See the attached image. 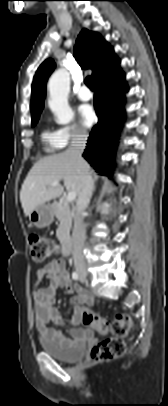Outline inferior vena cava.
Instances as JSON below:
<instances>
[{
    "instance_id": "602c4592",
    "label": "inferior vena cava",
    "mask_w": 168,
    "mask_h": 406,
    "mask_svg": "<svg viewBox=\"0 0 168 406\" xmlns=\"http://www.w3.org/2000/svg\"><path fill=\"white\" fill-rule=\"evenodd\" d=\"M88 135L79 133L73 136L70 147L67 152L73 155L75 160L81 166V190L78 194L76 210L74 215V230H73V249L72 255L76 268H85L82 249L85 241V226L83 223V213L89 205L92 193L94 190L93 178L91 172L82 158V153L85 149Z\"/></svg>"
}]
</instances>
